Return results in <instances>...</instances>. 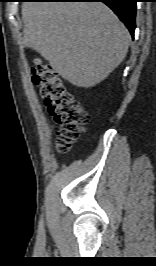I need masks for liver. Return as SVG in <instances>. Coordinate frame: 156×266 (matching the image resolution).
<instances>
[{"mask_svg":"<svg viewBox=\"0 0 156 266\" xmlns=\"http://www.w3.org/2000/svg\"><path fill=\"white\" fill-rule=\"evenodd\" d=\"M23 43L65 80L94 87L125 58L130 34L101 2H26Z\"/></svg>","mask_w":156,"mask_h":266,"instance_id":"1","label":"liver"}]
</instances>
